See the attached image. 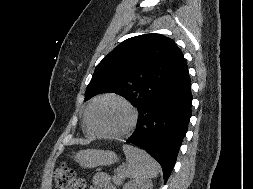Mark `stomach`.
<instances>
[{"instance_id": "stomach-1", "label": "stomach", "mask_w": 253, "mask_h": 189, "mask_svg": "<svg viewBox=\"0 0 253 189\" xmlns=\"http://www.w3.org/2000/svg\"><path fill=\"white\" fill-rule=\"evenodd\" d=\"M75 160L84 167H96L99 165H110L117 161V155L110 150L87 149L78 152Z\"/></svg>"}]
</instances>
